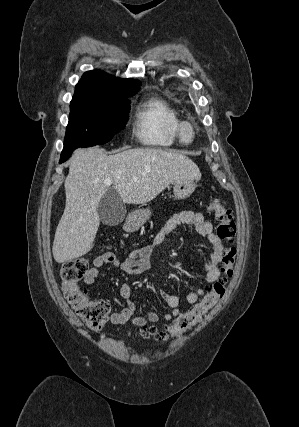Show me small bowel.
<instances>
[{"instance_id":"obj_1","label":"small bowel","mask_w":299,"mask_h":427,"mask_svg":"<svg viewBox=\"0 0 299 427\" xmlns=\"http://www.w3.org/2000/svg\"><path fill=\"white\" fill-rule=\"evenodd\" d=\"M189 225L202 236L207 237L211 245V253L208 260L204 264L205 280L208 284L215 283L220 277V265L223 261L225 248L221 239L213 231L212 223L205 219L201 212L183 210L171 216L159 229L153 238V242L148 245H142L130 251L125 260H119L118 257L111 252L103 253L93 260V265L84 278L85 285H92L100 275V270L105 264H111L113 267L120 269L128 275H137L151 271L153 268V254L156 248L161 246L165 239L179 226ZM120 296L123 299L124 306L119 312H114L110 316L112 324H124L131 322L139 328L147 327L148 324L156 323L159 320V315L155 312H150L146 316L135 315V304L131 299V286L128 283H123L120 287ZM203 288H196L187 295L189 304H195L201 297L204 296ZM163 300L171 308L169 312L162 315V319L166 322L171 321L180 315L179 299L176 295L166 291L160 293Z\"/></svg>"}]
</instances>
